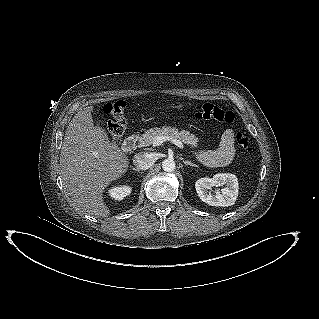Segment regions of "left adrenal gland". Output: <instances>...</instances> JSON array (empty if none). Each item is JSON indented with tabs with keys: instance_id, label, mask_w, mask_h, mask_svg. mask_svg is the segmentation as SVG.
Returning <instances> with one entry per match:
<instances>
[{
	"instance_id": "left-adrenal-gland-1",
	"label": "left adrenal gland",
	"mask_w": 319,
	"mask_h": 319,
	"mask_svg": "<svg viewBox=\"0 0 319 319\" xmlns=\"http://www.w3.org/2000/svg\"><path fill=\"white\" fill-rule=\"evenodd\" d=\"M182 161H183V163L186 165V166H194V167H197V168H199V166L197 165V164H194V163H192V162H190V161H186V160H184V159H182Z\"/></svg>"
}]
</instances>
